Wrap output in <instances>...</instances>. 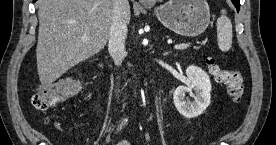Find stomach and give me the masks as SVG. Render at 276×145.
<instances>
[{
  "instance_id": "0dacf381",
  "label": "stomach",
  "mask_w": 276,
  "mask_h": 145,
  "mask_svg": "<svg viewBox=\"0 0 276 145\" xmlns=\"http://www.w3.org/2000/svg\"><path fill=\"white\" fill-rule=\"evenodd\" d=\"M154 12L165 27L182 36H198L210 23L206 0H169Z\"/></svg>"
}]
</instances>
